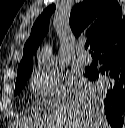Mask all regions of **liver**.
<instances>
[{
  "label": "liver",
  "mask_w": 125,
  "mask_h": 128,
  "mask_svg": "<svg viewBox=\"0 0 125 128\" xmlns=\"http://www.w3.org/2000/svg\"><path fill=\"white\" fill-rule=\"evenodd\" d=\"M103 89L84 78L69 79L61 87L59 101L48 116L36 125L48 128H107L102 110ZM40 119V120H39Z\"/></svg>",
  "instance_id": "obj_1"
}]
</instances>
